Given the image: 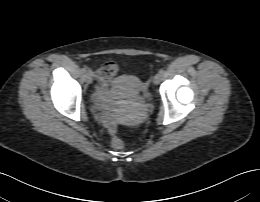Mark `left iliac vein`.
<instances>
[{
  "instance_id": "4c4485c4",
  "label": "left iliac vein",
  "mask_w": 260,
  "mask_h": 202,
  "mask_svg": "<svg viewBox=\"0 0 260 202\" xmlns=\"http://www.w3.org/2000/svg\"><path fill=\"white\" fill-rule=\"evenodd\" d=\"M161 78H162L161 74H160V73H157V74L154 76V78H153V83H154L155 85L159 84L160 81H161Z\"/></svg>"
}]
</instances>
